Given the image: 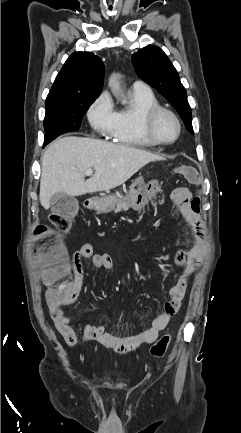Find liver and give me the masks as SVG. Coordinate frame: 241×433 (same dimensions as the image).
Segmentation results:
<instances>
[{
    "instance_id": "liver-1",
    "label": "liver",
    "mask_w": 241,
    "mask_h": 433,
    "mask_svg": "<svg viewBox=\"0 0 241 433\" xmlns=\"http://www.w3.org/2000/svg\"><path fill=\"white\" fill-rule=\"evenodd\" d=\"M162 159L148 151L91 138L58 139L42 156L40 203L48 209L50 198L57 192L80 196L109 191L124 184L146 164ZM92 168L94 175L85 180L84 172Z\"/></svg>"
}]
</instances>
